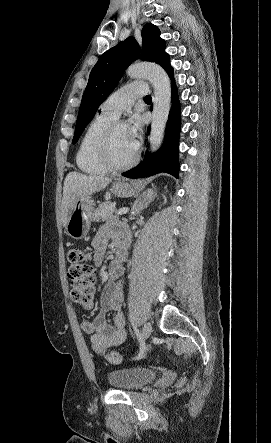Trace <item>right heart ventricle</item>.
<instances>
[{
    "instance_id": "1",
    "label": "right heart ventricle",
    "mask_w": 271,
    "mask_h": 443,
    "mask_svg": "<svg viewBox=\"0 0 271 443\" xmlns=\"http://www.w3.org/2000/svg\"><path fill=\"white\" fill-rule=\"evenodd\" d=\"M114 119L98 113L88 123L75 155L76 165L83 173L96 176L109 171L101 158L99 148L105 129Z\"/></svg>"
}]
</instances>
